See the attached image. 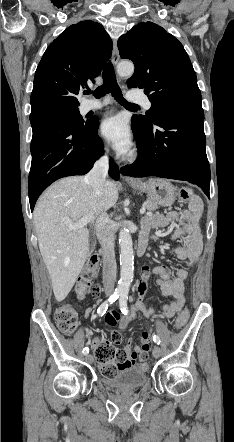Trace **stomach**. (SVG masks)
Segmentation results:
<instances>
[{
  "label": "stomach",
  "mask_w": 234,
  "mask_h": 442,
  "mask_svg": "<svg viewBox=\"0 0 234 442\" xmlns=\"http://www.w3.org/2000/svg\"><path fill=\"white\" fill-rule=\"evenodd\" d=\"M133 187L147 193L150 200L162 206H171L176 200L177 189L167 180L149 179L146 182L132 184Z\"/></svg>",
  "instance_id": "stomach-1"
}]
</instances>
